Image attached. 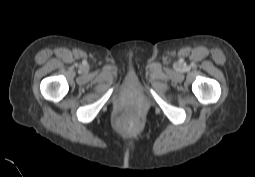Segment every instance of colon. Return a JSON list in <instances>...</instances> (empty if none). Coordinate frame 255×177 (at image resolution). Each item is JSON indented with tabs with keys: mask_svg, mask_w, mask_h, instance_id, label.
Segmentation results:
<instances>
[{
	"mask_svg": "<svg viewBox=\"0 0 255 177\" xmlns=\"http://www.w3.org/2000/svg\"><path fill=\"white\" fill-rule=\"evenodd\" d=\"M127 117L130 118V119H134L135 118V113L130 111V112L127 113Z\"/></svg>",
	"mask_w": 255,
	"mask_h": 177,
	"instance_id": "1",
	"label": "colon"
}]
</instances>
